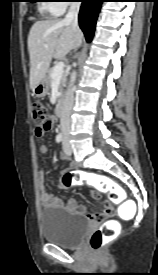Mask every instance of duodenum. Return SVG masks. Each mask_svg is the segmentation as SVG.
I'll return each instance as SVG.
<instances>
[{"mask_svg":"<svg viewBox=\"0 0 158 275\" xmlns=\"http://www.w3.org/2000/svg\"><path fill=\"white\" fill-rule=\"evenodd\" d=\"M63 106H64V99L63 97H60L58 102H57V107H56V116L61 117L63 114Z\"/></svg>","mask_w":158,"mask_h":275,"instance_id":"1","label":"duodenum"}]
</instances>
